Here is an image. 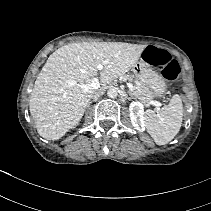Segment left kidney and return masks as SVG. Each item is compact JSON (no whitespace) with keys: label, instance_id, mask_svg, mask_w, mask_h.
I'll use <instances>...</instances> for the list:
<instances>
[{"label":"left kidney","instance_id":"left-kidney-1","mask_svg":"<svg viewBox=\"0 0 211 211\" xmlns=\"http://www.w3.org/2000/svg\"><path fill=\"white\" fill-rule=\"evenodd\" d=\"M130 119L133 127L138 131L145 130V112L143 104L138 101H133L129 106Z\"/></svg>","mask_w":211,"mask_h":211}]
</instances>
